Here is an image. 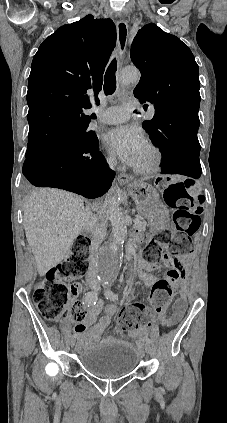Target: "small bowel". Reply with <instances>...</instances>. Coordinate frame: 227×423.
Returning <instances> with one entry per match:
<instances>
[{
  "label": "small bowel",
  "instance_id": "small-bowel-1",
  "mask_svg": "<svg viewBox=\"0 0 227 423\" xmlns=\"http://www.w3.org/2000/svg\"><path fill=\"white\" fill-rule=\"evenodd\" d=\"M189 258V257H187ZM184 272V266L179 262ZM138 266L141 271V277L145 286H152L157 282V266L154 263L146 261L144 258L138 259ZM76 293L80 291V285L76 284ZM186 306L185 287L182 286L180 290V297L174 302L172 307V314L167 316L165 312L159 313L158 317L151 316L149 328L156 323L163 327H172L178 323L184 314ZM104 309V315L96 322V318ZM84 317L75 326L76 334L79 336L78 348L85 350L95 345L101 338L104 330L110 325L113 316L117 311V306L114 303H104L102 301L96 302L90 308L84 310ZM148 327H141L130 332V336L137 338L139 344L144 342L145 337L149 333ZM115 339L111 337L104 338L102 343L108 344L114 342Z\"/></svg>",
  "mask_w": 227,
  "mask_h": 423
}]
</instances>
